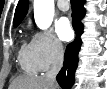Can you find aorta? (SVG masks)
<instances>
[{
  "mask_svg": "<svg viewBox=\"0 0 107 89\" xmlns=\"http://www.w3.org/2000/svg\"><path fill=\"white\" fill-rule=\"evenodd\" d=\"M54 17V0H34V18L38 28L46 30Z\"/></svg>",
  "mask_w": 107,
  "mask_h": 89,
  "instance_id": "obj_1",
  "label": "aorta"
}]
</instances>
